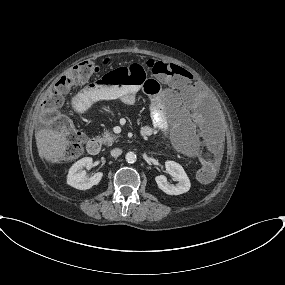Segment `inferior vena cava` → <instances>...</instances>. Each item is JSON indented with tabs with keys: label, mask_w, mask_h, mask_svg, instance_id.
<instances>
[{
	"label": "inferior vena cava",
	"mask_w": 285,
	"mask_h": 285,
	"mask_svg": "<svg viewBox=\"0 0 285 285\" xmlns=\"http://www.w3.org/2000/svg\"><path fill=\"white\" fill-rule=\"evenodd\" d=\"M110 154L112 157H118L122 154V150L120 148H114L111 150Z\"/></svg>",
	"instance_id": "602c4592"
}]
</instances>
